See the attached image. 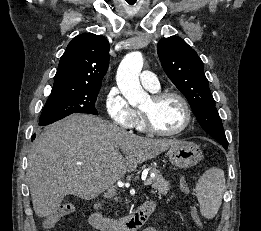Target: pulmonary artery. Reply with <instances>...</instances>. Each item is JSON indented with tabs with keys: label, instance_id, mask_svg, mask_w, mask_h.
Segmentation results:
<instances>
[{
	"label": "pulmonary artery",
	"instance_id": "obj_1",
	"mask_svg": "<svg viewBox=\"0 0 261 231\" xmlns=\"http://www.w3.org/2000/svg\"><path fill=\"white\" fill-rule=\"evenodd\" d=\"M140 79L142 85L150 91L155 92L159 90L160 85L158 83L156 75L152 71H142Z\"/></svg>",
	"mask_w": 261,
	"mask_h": 231
}]
</instances>
